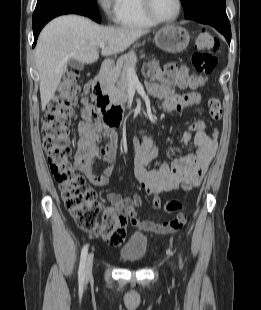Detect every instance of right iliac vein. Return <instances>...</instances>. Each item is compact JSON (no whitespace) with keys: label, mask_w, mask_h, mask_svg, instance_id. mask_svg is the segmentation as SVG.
Returning a JSON list of instances; mask_svg holds the SVG:
<instances>
[{"label":"right iliac vein","mask_w":261,"mask_h":310,"mask_svg":"<svg viewBox=\"0 0 261 310\" xmlns=\"http://www.w3.org/2000/svg\"><path fill=\"white\" fill-rule=\"evenodd\" d=\"M92 267H93V254L90 253L88 255L86 262V271H85L86 280L90 279V277L92 276Z\"/></svg>","instance_id":"right-iliac-vein-1"}]
</instances>
